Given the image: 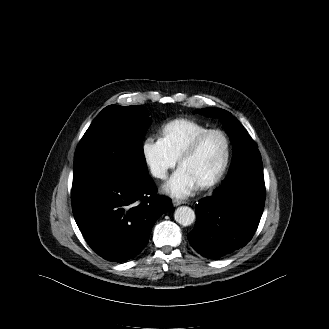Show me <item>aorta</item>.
Listing matches in <instances>:
<instances>
[{
    "label": "aorta",
    "instance_id": "obj_1",
    "mask_svg": "<svg viewBox=\"0 0 329 329\" xmlns=\"http://www.w3.org/2000/svg\"><path fill=\"white\" fill-rule=\"evenodd\" d=\"M175 221L182 226H190L195 221V213L188 206H181L175 210Z\"/></svg>",
    "mask_w": 329,
    "mask_h": 329
}]
</instances>
